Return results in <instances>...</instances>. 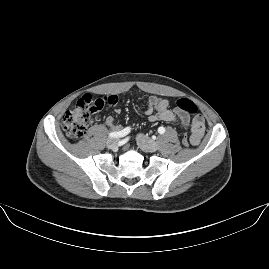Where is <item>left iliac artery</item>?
Here are the masks:
<instances>
[{"label":"left iliac artery","mask_w":269,"mask_h":269,"mask_svg":"<svg viewBox=\"0 0 269 269\" xmlns=\"http://www.w3.org/2000/svg\"><path fill=\"white\" fill-rule=\"evenodd\" d=\"M158 132L160 133V134H163L164 132H165V128L164 127H159L158 128Z\"/></svg>","instance_id":"44dca946"}]
</instances>
